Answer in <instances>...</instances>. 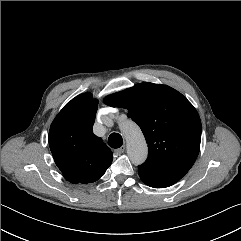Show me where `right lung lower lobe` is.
I'll return each mask as SVG.
<instances>
[{
	"instance_id": "98d812e1",
	"label": "right lung lower lobe",
	"mask_w": 241,
	"mask_h": 241,
	"mask_svg": "<svg viewBox=\"0 0 241 241\" xmlns=\"http://www.w3.org/2000/svg\"><path fill=\"white\" fill-rule=\"evenodd\" d=\"M66 180H68V181H70L71 183H73V181H71V180H69V179H67V178H66Z\"/></svg>"
}]
</instances>
